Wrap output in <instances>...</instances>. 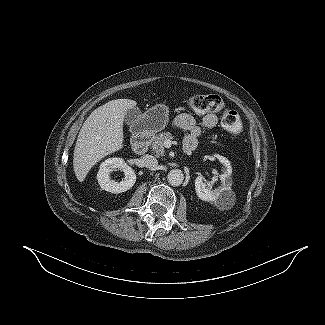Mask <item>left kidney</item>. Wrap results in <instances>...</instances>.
Segmentation results:
<instances>
[{
	"label": "left kidney",
	"mask_w": 325,
	"mask_h": 325,
	"mask_svg": "<svg viewBox=\"0 0 325 325\" xmlns=\"http://www.w3.org/2000/svg\"><path fill=\"white\" fill-rule=\"evenodd\" d=\"M214 157H216L224 166L223 174L220 175L222 186L212 190L211 188L206 187L207 185L202 176H198L195 179V191L197 196L201 200L210 203H215L218 199L222 198V196L231 190L232 186V167L230 161L221 155H215Z\"/></svg>",
	"instance_id": "left-kidney-1"
}]
</instances>
